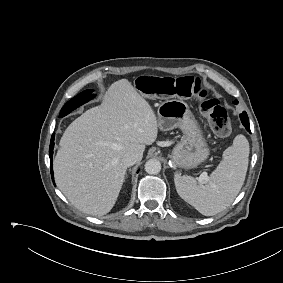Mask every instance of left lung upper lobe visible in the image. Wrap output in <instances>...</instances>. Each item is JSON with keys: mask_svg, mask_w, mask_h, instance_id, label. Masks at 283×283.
Wrapping results in <instances>:
<instances>
[{"mask_svg": "<svg viewBox=\"0 0 283 283\" xmlns=\"http://www.w3.org/2000/svg\"><path fill=\"white\" fill-rule=\"evenodd\" d=\"M234 103H235V104H237V103H238V101L236 100Z\"/></svg>", "mask_w": 283, "mask_h": 283, "instance_id": "obj_1", "label": "left lung upper lobe"}]
</instances>
